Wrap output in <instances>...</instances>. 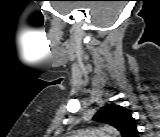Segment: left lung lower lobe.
Returning <instances> with one entry per match:
<instances>
[{"label": "left lung lower lobe", "instance_id": "left-lung-lower-lobe-1", "mask_svg": "<svg viewBox=\"0 0 160 137\" xmlns=\"http://www.w3.org/2000/svg\"><path fill=\"white\" fill-rule=\"evenodd\" d=\"M130 137H138V131L137 129H134L130 134H129Z\"/></svg>", "mask_w": 160, "mask_h": 137}]
</instances>
